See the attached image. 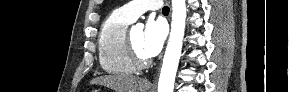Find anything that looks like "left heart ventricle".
<instances>
[{"mask_svg": "<svg viewBox=\"0 0 289 92\" xmlns=\"http://www.w3.org/2000/svg\"><path fill=\"white\" fill-rule=\"evenodd\" d=\"M130 35H131L133 45H134L136 51L138 52V54L143 58H149L145 54L144 49H143L144 31L142 29H135V30L131 31Z\"/></svg>", "mask_w": 289, "mask_h": 92, "instance_id": "obj_1", "label": "left heart ventricle"}]
</instances>
